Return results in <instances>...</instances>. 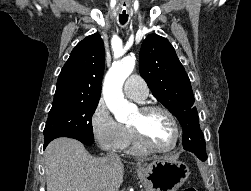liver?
Listing matches in <instances>:
<instances>
[{"mask_svg":"<svg viewBox=\"0 0 251 191\" xmlns=\"http://www.w3.org/2000/svg\"><path fill=\"white\" fill-rule=\"evenodd\" d=\"M47 191H118L125 173L121 161L93 157L83 143L57 137L44 151Z\"/></svg>","mask_w":251,"mask_h":191,"instance_id":"obj_1","label":"liver"}]
</instances>
